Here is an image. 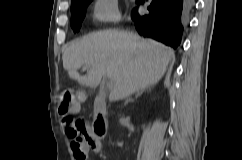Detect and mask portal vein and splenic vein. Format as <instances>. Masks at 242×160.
<instances>
[{
	"instance_id": "18ae733b",
	"label": "portal vein and splenic vein",
	"mask_w": 242,
	"mask_h": 160,
	"mask_svg": "<svg viewBox=\"0 0 242 160\" xmlns=\"http://www.w3.org/2000/svg\"><path fill=\"white\" fill-rule=\"evenodd\" d=\"M106 87H107V89H111L113 87V82H112V80L110 78L106 82Z\"/></svg>"
}]
</instances>
